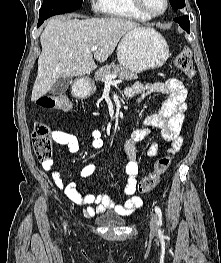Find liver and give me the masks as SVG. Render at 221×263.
I'll return each mask as SVG.
<instances>
[{
    "label": "liver",
    "instance_id": "liver-1",
    "mask_svg": "<svg viewBox=\"0 0 221 263\" xmlns=\"http://www.w3.org/2000/svg\"><path fill=\"white\" fill-rule=\"evenodd\" d=\"M146 29L151 28L113 17L50 19L40 36L42 52L31 100L48 93L57 79L83 76L95 70L94 59L105 62L125 34ZM92 46H98L94 55Z\"/></svg>",
    "mask_w": 221,
    "mask_h": 263
}]
</instances>
